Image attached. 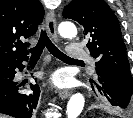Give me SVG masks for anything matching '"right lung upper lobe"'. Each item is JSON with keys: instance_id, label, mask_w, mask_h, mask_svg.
<instances>
[{"instance_id": "cb5924a9", "label": "right lung upper lobe", "mask_w": 133, "mask_h": 118, "mask_svg": "<svg viewBox=\"0 0 133 118\" xmlns=\"http://www.w3.org/2000/svg\"><path fill=\"white\" fill-rule=\"evenodd\" d=\"M43 16L39 0H0V67L28 58L20 38L34 35Z\"/></svg>"}]
</instances>
